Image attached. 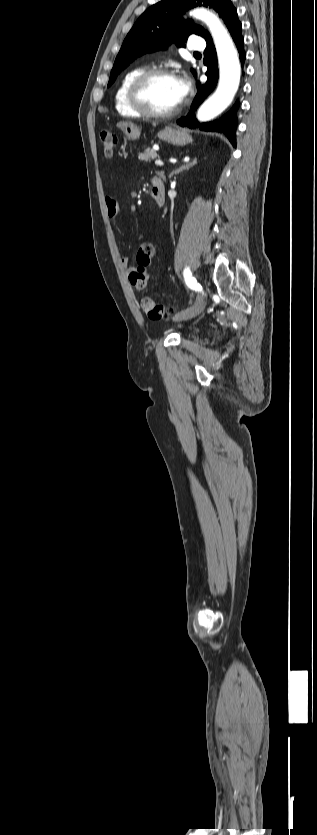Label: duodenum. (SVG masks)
<instances>
[{
    "label": "duodenum",
    "instance_id": "1",
    "mask_svg": "<svg viewBox=\"0 0 317 835\" xmlns=\"http://www.w3.org/2000/svg\"><path fill=\"white\" fill-rule=\"evenodd\" d=\"M151 196L158 206H162L165 201V188L161 180H154L151 188Z\"/></svg>",
    "mask_w": 317,
    "mask_h": 835
}]
</instances>
